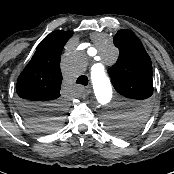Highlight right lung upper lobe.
Returning <instances> with one entry per match:
<instances>
[{
    "instance_id": "cb5924a9",
    "label": "right lung upper lobe",
    "mask_w": 174,
    "mask_h": 174,
    "mask_svg": "<svg viewBox=\"0 0 174 174\" xmlns=\"http://www.w3.org/2000/svg\"><path fill=\"white\" fill-rule=\"evenodd\" d=\"M71 36L70 31H55L39 43L31 61L18 77L16 91L19 100L59 103L62 83L60 55Z\"/></svg>"
}]
</instances>
